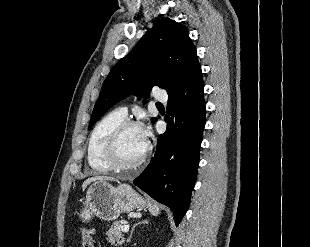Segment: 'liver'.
I'll list each match as a JSON object with an SVG mask.
<instances>
[{"label": "liver", "instance_id": "liver-1", "mask_svg": "<svg viewBox=\"0 0 310 247\" xmlns=\"http://www.w3.org/2000/svg\"><path fill=\"white\" fill-rule=\"evenodd\" d=\"M107 180L114 181L115 179L112 177H108V176H95V177L88 178L83 182L82 189L85 190L86 187L92 182L107 181Z\"/></svg>", "mask_w": 310, "mask_h": 247}]
</instances>
